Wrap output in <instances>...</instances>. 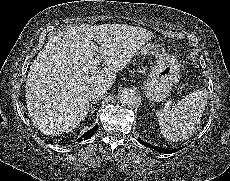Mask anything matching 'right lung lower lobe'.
Masks as SVG:
<instances>
[{"mask_svg": "<svg viewBox=\"0 0 230 181\" xmlns=\"http://www.w3.org/2000/svg\"><path fill=\"white\" fill-rule=\"evenodd\" d=\"M98 129V126L96 125L92 130L86 132L84 135H82L77 141H83L84 140H87L89 138H91L97 131Z\"/></svg>", "mask_w": 230, "mask_h": 181, "instance_id": "right-lung-lower-lobe-1", "label": "right lung lower lobe"}]
</instances>
